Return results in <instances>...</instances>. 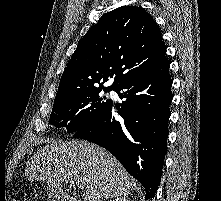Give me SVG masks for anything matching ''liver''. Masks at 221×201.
<instances>
[{
  "label": "liver",
  "instance_id": "obj_1",
  "mask_svg": "<svg viewBox=\"0 0 221 201\" xmlns=\"http://www.w3.org/2000/svg\"><path fill=\"white\" fill-rule=\"evenodd\" d=\"M43 148L28 161L29 180L49 187L78 180L83 184L84 201H103L130 194L137 182L120 162L104 148L83 140L62 142L47 139Z\"/></svg>",
  "mask_w": 221,
  "mask_h": 201
}]
</instances>
